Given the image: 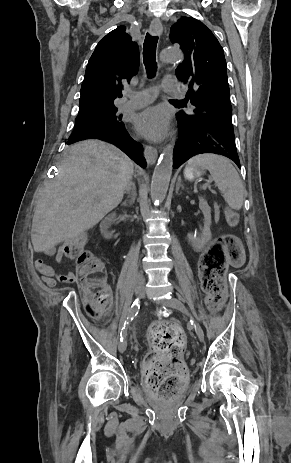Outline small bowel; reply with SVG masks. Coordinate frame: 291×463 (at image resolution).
Masks as SVG:
<instances>
[{"label": "small bowel", "instance_id": "c3829d8e", "mask_svg": "<svg viewBox=\"0 0 291 463\" xmlns=\"http://www.w3.org/2000/svg\"><path fill=\"white\" fill-rule=\"evenodd\" d=\"M46 254H54L57 264H61L64 259V253L62 247L58 248L56 252L52 248H41ZM36 267L42 274V280L50 288L55 287L57 282L70 284L75 281V276L72 272L57 273L51 266L46 265L42 260L36 261ZM105 288L110 291L109 287L105 285ZM97 319L99 317H92Z\"/></svg>", "mask_w": 291, "mask_h": 463}]
</instances>
